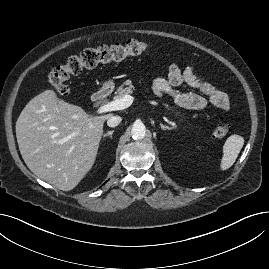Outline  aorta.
Listing matches in <instances>:
<instances>
[{"mask_svg": "<svg viewBox=\"0 0 269 269\" xmlns=\"http://www.w3.org/2000/svg\"><path fill=\"white\" fill-rule=\"evenodd\" d=\"M131 134L133 139L141 140L146 136V127L141 122H135L132 126Z\"/></svg>", "mask_w": 269, "mask_h": 269, "instance_id": "obj_1", "label": "aorta"}]
</instances>
